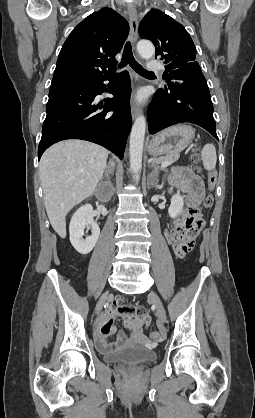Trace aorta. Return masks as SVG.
<instances>
[{
  "label": "aorta",
  "instance_id": "762f6f07",
  "mask_svg": "<svg viewBox=\"0 0 255 418\" xmlns=\"http://www.w3.org/2000/svg\"><path fill=\"white\" fill-rule=\"evenodd\" d=\"M137 50L142 58H150L155 52L153 44L146 40L138 42ZM145 132L146 120L143 115H140L136 118L132 126L129 141L130 168L133 171V179L135 182H138L140 179Z\"/></svg>",
  "mask_w": 255,
  "mask_h": 418
}]
</instances>
